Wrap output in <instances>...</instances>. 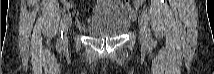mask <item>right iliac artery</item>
Masks as SVG:
<instances>
[{
  "instance_id": "right-iliac-artery-1",
  "label": "right iliac artery",
  "mask_w": 214,
  "mask_h": 74,
  "mask_svg": "<svg viewBox=\"0 0 214 74\" xmlns=\"http://www.w3.org/2000/svg\"><path fill=\"white\" fill-rule=\"evenodd\" d=\"M67 19H68V15L64 14L62 19H61V24H60V29H59V37L57 40V47L59 49H61L62 44H63V27H64V24L67 21Z\"/></svg>"
}]
</instances>
